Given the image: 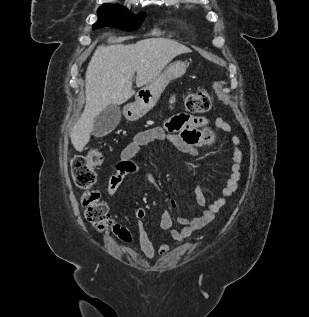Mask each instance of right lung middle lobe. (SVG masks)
Instances as JSON below:
<instances>
[{
	"instance_id": "right-lung-middle-lobe-1",
	"label": "right lung middle lobe",
	"mask_w": 309,
	"mask_h": 317,
	"mask_svg": "<svg viewBox=\"0 0 309 317\" xmlns=\"http://www.w3.org/2000/svg\"><path fill=\"white\" fill-rule=\"evenodd\" d=\"M98 17L93 29L108 26L124 31H133L141 26L146 14L133 15L121 6L104 4L98 9Z\"/></svg>"
}]
</instances>
